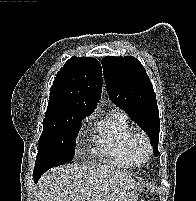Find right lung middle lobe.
I'll return each instance as SVG.
<instances>
[{
  "mask_svg": "<svg viewBox=\"0 0 196 201\" xmlns=\"http://www.w3.org/2000/svg\"><path fill=\"white\" fill-rule=\"evenodd\" d=\"M88 114L75 110L44 118L43 132L38 141L35 175H42L49 168L65 164L73 159L81 120Z\"/></svg>",
  "mask_w": 196,
  "mask_h": 201,
  "instance_id": "obj_1",
  "label": "right lung middle lobe"
}]
</instances>
